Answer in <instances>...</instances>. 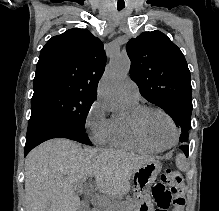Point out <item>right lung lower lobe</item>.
Instances as JSON below:
<instances>
[{"instance_id": "98d812e1", "label": "right lung lower lobe", "mask_w": 219, "mask_h": 211, "mask_svg": "<svg viewBox=\"0 0 219 211\" xmlns=\"http://www.w3.org/2000/svg\"><path fill=\"white\" fill-rule=\"evenodd\" d=\"M52 138H67L92 145L81 128L51 117L36 116L30 118L28 123L24 156L40 143Z\"/></svg>"}]
</instances>
